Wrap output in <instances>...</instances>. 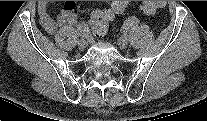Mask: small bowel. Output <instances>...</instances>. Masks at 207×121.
Returning <instances> with one entry per match:
<instances>
[{
    "label": "small bowel",
    "instance_id": "small-bowel-1",
    "mask_svg": "<svg viewBox=\"0 0 207 121\" xmlns=\"http://www.w3.org/2000/svg\"><path fill=\"white\" fill-rule=\"evenodd\" d=\"M48 6V1L38 3L40 24L48 34H55L58 28L72 26L76 23L77 3L75 1H66L64 10L56 18L50 16Z\"/></svg>",
    "mask_w": 207,
    "mask_h": 121
}]
</instances>
